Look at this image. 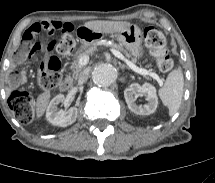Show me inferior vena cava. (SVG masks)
Here are the masks:
<instances>
[{"label":"inferior vena cava","mask_w":215,"mask_h":183,"mask_svg":"<svg viewBox=\"0 0 215 183\" xmlns=\"http://www.w3.org/2000/svg\"><path fill=\"white\" fill-rule=\"evenodd\" d=\"M88 76H89L88 71H86V70L82 71V72L79 74L78 82H79L80 84L86 82L87 79H88Z\"/></svg>","instance_id":"1"}]
</instances>
